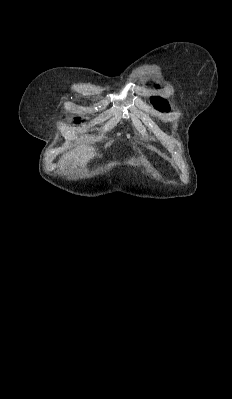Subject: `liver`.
Returning <instances> with one entry per match:
<instances>
[{
    "instance_id": "1",
    "label": "liver",
    "mask_w": 232,
    "mask_h": 399,
    "mask_svg": "<svg viewBox=\"0 0 232 399\" xmlns=\"http://www.w3.org/2000/svg\"><path fill=\"white\" fill-rule=\"evenodd\" d=\"M97 156L95 148L93 146H77L75 150H71V152H67V154H63L59 160V164L61 166H81V168H85L87 162L89 160H93Z\"/></svg>"
}]
</instances>
